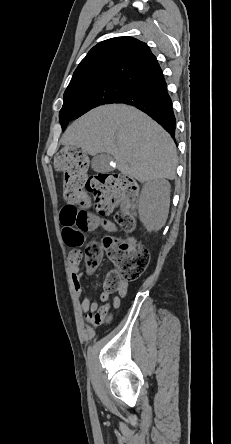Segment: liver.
<instances>
[{
  "instance_id": "1",
  "label": "liver",
  "mask_w": 231,
  "mask_h": 444,
  "mask_svg": "<svg viewBox=\"0 0 231 444\" xmlns=\"http://www.w3.org/2000/svg\"><path fill=\"white\" fill-rule=\"evenodd\" d=\"M61 143L92 156L110 154L122 174L142 183L175 178L177 152L172 138L132 106L109 104L92 109L68 127Z\"/></svg>"
}]
</instances>
